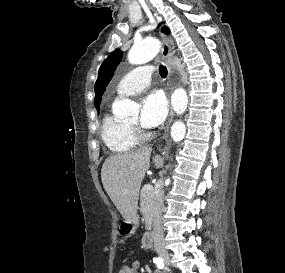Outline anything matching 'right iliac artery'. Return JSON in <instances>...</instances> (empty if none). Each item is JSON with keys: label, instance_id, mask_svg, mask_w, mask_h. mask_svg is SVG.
Returning a JSON list of instances; mask_svg holds the SVG:
<instances>
[{"label": "right iliac artery", "instance_id": "1", "mask_svg": "<svg viewBox=\"0 0 285 273\" xmlns=\"http://www.w3.org/2000/svg\"><path fill=\"white\" fill-rule=\"evenodd\" d=\"M153 262L159 269L164 268L163 259H161L160 257L153 258Z\"/></svg>", "mask_w": 285, "mask_h": 273}]
</instances>
